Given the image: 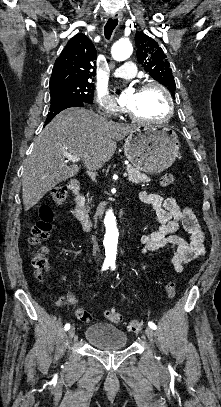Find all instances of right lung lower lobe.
<instances>
[{
    "mask_svg": "<svg viewBox=\"0 0 221 407\" xmlns=\"http://www.w3.org/2000/svg\"><path fill=\"white\" fill-rule=\"evenodd\" d=\"M84 104L85 102L79 100H63L51 104L50 111L46 119V124L49 123L54 118V116L62 110L69 107H82Z\"/></svg>",
    "mask_w": 221,
    "mask_h": 407,
    "instance_id": "98d812e1",
    "label": "right lung lower lobe"
}]
</instances>
